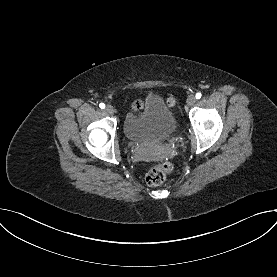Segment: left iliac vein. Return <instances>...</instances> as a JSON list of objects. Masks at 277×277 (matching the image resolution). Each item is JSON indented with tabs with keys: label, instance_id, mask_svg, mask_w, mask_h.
Returning a JSON list of instances; mask_svg holds the SVG:
<instances>
[{
	"label": "left iliac vein",
	"instance_id": "4c4485c4",
	"mask_svg": "<svg viewBox=\"0 0 277 277\" xmlns=\"http://www.w3.org/2000/svg\"><path fill=\"white\" fill-rule=\"evenodd\" d=\"M195 102H196V98H195L194 95L191 94V95H189V96L187 97V104H188V106L194 105Z\"/></svg>",
	"mask_w": 277,
	"mask_h": 277
}]
</instances>
